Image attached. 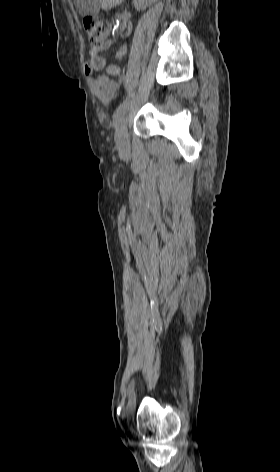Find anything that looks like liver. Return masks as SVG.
Masks as SVG:
<instances>
[{"label": "liver", "instance_id": "obj_1", "mask_svg": "<svg viewBox=\"0 0 280 472\" xmlns=\"http://www.w3.org/2000/svg\"><path fill=\"white\" fill-rule=\"evenodd\" d=\"M123 0H100V6L104 10H110L112 7L119 5Z\"/></svg>", "mask_w": 280, "mask_h": 472}]
</instances>
